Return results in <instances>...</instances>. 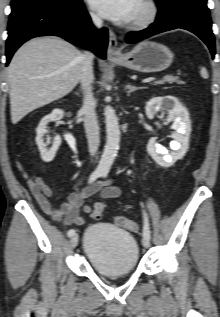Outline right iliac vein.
Segmentation results:
<instances>
[{"mask_svg":"<svg viewBox=\"0 0 220 317\" xmlns=\"http://www.w3.org/2000/svg\"><path fill=\"white\" fill-rule=\"evenodd\" d=\"M78 240H79V237L77 234L73 235L72 238L70 239V246L72 248H75L78 244Z\"/></svg>","mask_w":220,"mask_h":317,"instance_id":"63e3f726","label":"right iliac vein"}]
</instances>
